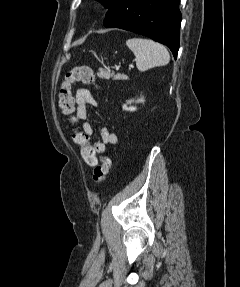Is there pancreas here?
Segmentation results:
<instances>
[{
    "label": "pancreas",
    "mask_w": 240,
    "mask_h": 287,
    "mask_svg": "<svg viewBox=\"0 0 240 287\" xmlns=\"http://www.w3.org/2000/svg\"><path fill=\"white\" fill-rule=\"evenodd\" d=\"M98 77L102 78V79H114V80H120V79H124V76L121 74H114L111 73L110 71H106L104 69H100L99 72L97 73Z\"/></svg>",
    "instance_id": "1"
}]
</instances>
